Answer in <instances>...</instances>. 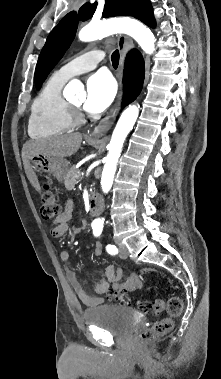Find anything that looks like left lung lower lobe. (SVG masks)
Here are the masks:
<instances>
[{"mask_svg": "<svg viewBox=\"0 0 221 379\" xmlns=\"http://www.w3.org/2000/svg\"><path fill=\"white\" fill-rule=\"evenodd\" d=\"M140 20L144 22L145 24H147L148 26H151V27L155 26V20H154L153 11L151 7L143 14Z\"/></svg>", "mask_w": 221, "mask_h": 379, "instance_id": "obj_1", "label": "left lung lower lobe"}]
</instances>
